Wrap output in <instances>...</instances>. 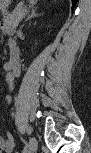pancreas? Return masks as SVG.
<instances>
[{
    "label": "pancreas",
    "instance_id": "1",
    "mask_svg": "<svg viewBox=\"0 0 91 153\" xmlns=\"http://www.w3.org/2000/svg\"><path fill=\"white\" fill-rule=\"evenodd\" d=\"M25 15L24 9L14 11L12 14H5L3 18L4 26L7 29L15 31V24H18L22 17Z\"/></svg>",
    "mask_w": 91,
    "mask_h": 153
}]
</instances>
